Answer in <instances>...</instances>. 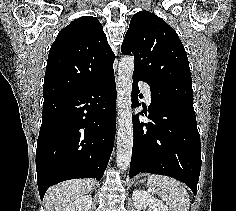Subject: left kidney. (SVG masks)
Returning a JSON list of instances; mask_svg holds the SVG:
<instances>
[{"label": "left kidney", "instance_id": "obj_1", "mask_svg": "<svg viewBox=\"0 0 236 211\" xmlns=\"http://www.w3.org/2000/svg\"><path fill=\"white\" fill-rule=\"evenodd\" d=\"M132 199L134 206L138 211L150 206L153 211H169L168 207L163 204L161 200H158L150 194V192L136 189L133 191Z\"/></svg>", "mask_w": 236, "mask_h": 211}]
</instances>
